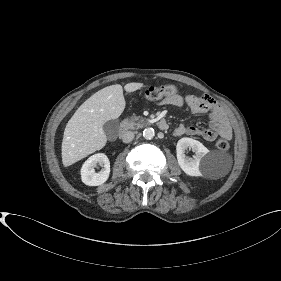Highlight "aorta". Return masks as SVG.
I'll return each mask as SVG.
<instances>
[{
    "label": "aorta",
    "mask_w": 281,
    "mask_h": 281,
    "mask_svg": "<svg viewBox=\"0 0 281 281\" xmlns=\"http://www.w3.org/2000/svg\"><path fill=\"white\" fill-rule=\"evenodd\" d=\"M155 136V132L153 128H145L143 131V137L146 140H151Z\"/></svg>",
    "instance_id": "aorta-1"
}]
</instances>
